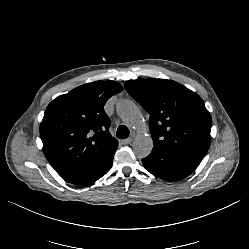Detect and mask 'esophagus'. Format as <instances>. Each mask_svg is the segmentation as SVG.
Returning <instances> with one entry per match:
<instances>
[{
  "mask_svg": "<svg viewBox=\"0 0 249 249\" xmlns=\"http://www.w3.org/2000/svg\"><path fill=\"white\" fill-rule=\"evenodd\" d=\"M131 142H132V138H127V139L121 141V143H122L123 145H128V144H130Z\"/></svg>",
  "mask_w": 249,
  "mask_h": 249,
  "instance_id": "1",
  "label": "esophagus"
}]
</instances>
